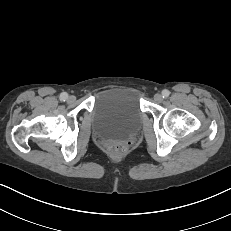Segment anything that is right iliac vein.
Returning a JSON list of instances; mask_svg holds the SVG:
<instances>
[{
  "mask_svg": "<svg viewBox=\"0 0 231 231\" xmlns=\"http://www.w3.org/2000/svg\"><path fill=\"white\" fill-rule=\"evenodd\" d=\"M75 100H76L75 96H69V98H68V101H69L70 103L75 102Z\"/></svg>",
  "mask_w": 231,
  "mask_h": 231,
  "instance_id": "obj_1",
  "label": "right iliac vein"
}]
</instances>
